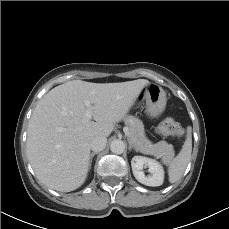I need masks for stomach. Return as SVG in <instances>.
Segmentation results:
<instances>
[{"label": "stomach", "instance_id": "1", "mask_svg": "<svg viewBox=\"0 0 229 229\" xmlns=\"http://www.w3.org/2000/svg\"><path fill=\"white\" fill-rule=\"evenodd\" d=\"M140 97L145 100V112L150 118H157L162 114L167 102L166 92L162 87L149 83L142 89Z\"/></svg>", "mask_w": 229, "mask_h": 229}]
</instances>
